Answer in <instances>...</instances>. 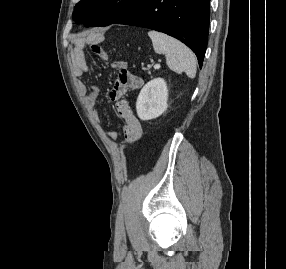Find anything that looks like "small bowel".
<instances>
[{
	"label": "small bowel",
	"instance_id": "small-bowel-1",
	"mask_svg": "<svg viewBox=\"0 0 286 269\" xmlns=\"http://www.w3.org/2000/svg\"><path fill=\"white\" fill-rule=\"evenodd\" d=\"M92 52L101 60L108 61L109 55L103 49L102 51H96L92 48ZM71 61L73 64L74 74L77 77H82L89 71V67L86 62L84 54V44L75 40L73 43V49L71 51ZM117 62L112 63V66L115 68ZM136 78H139L135 76ZM118 79V77H117ZM117 82V81H116ZM83 90L86 93V104L88 109L91 112L93 119L99 121V110L96 105V100L98 97V89L95 85L92 84H83ZM125 91L120 92L119 88H115V85L112 87L109 95L113 100H116V111L121 120V128L117 131H111L109 137L112 140H116L119 136L125 138V142L122 144V147H127L138 141L143 135V128L140 121L134 114L132 106L126 100H119L121 95Z\"/></svg>",
	"mask_w": 286,
	"mask_h": 269
}]
</instances>
